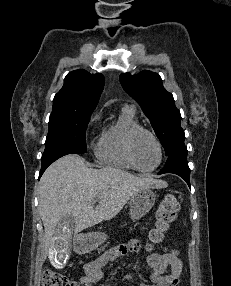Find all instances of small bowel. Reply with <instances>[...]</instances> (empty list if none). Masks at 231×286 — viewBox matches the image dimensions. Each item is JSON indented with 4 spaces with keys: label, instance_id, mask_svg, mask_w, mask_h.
<instances>
[{
    "label": "small bowel",
    "instance_id": "1",
    "mask_svg": "<svg viewBox=\"0 0 231 286\" xmlns=\"http://www.w3.org/2000/svg\"><path fill=\"white\" fill-rule=\"evenodd\" d=\"M141 242L133 239L126 244L117 246L94 261L83 265L84 275L81 286H92L103 278L104 267L111 261L129 253L138 252ZM148 266L152 269L150 283H141L139 286H177L182 273L183 264L176 249L164 248L161 252H154L147 257ZM170 273H166L167 269Z\"/></svg>",
    "mask_w": 231,
    "mask_h": 286
}]
</instances>
